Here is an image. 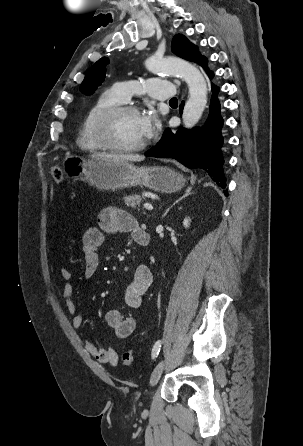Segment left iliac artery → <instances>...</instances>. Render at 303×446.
<instances>
[{"mask_svg":"<svg viewBox=\"0 0 303 446\" xmlns=\"http://www.w3.org/2000/svg\"><path fill=\"white\" fill-rule=\"evenodd\" d=\"M161 344H162V341H161V340H158V341L154 344V346H153V348H152V359L157 358V356H158V354H159V352H160Z\"/></svg>","mask_w":303,"mask_h":446,"instance_id":"obj_1","label":"left iliac artery"}]
</instances>
